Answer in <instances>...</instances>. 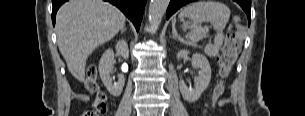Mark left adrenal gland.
I'll use <instances>...</instances> for the list:
<instances>
[{
    "label": "left adrenal gland",
    "mask_w": 305,
    "mask_h": 116,
    "mask_svg": "<svg viewBox=\"0 0 305 116\" xmlns=\"http://www.w3.org/2000/svg\"><path fill=\"white\" fill-rule=\"evenodd\" d=\"M173 38H174V39H178V36L176 35L175 32L173 33Z\"/></svg>",
    "instance_id": "1"
}]
</instances>
